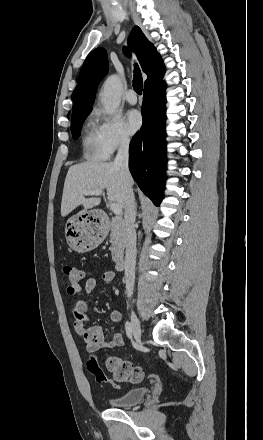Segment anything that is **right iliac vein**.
<instances>
[{
	"label": "right iliac vein",
	"instance_id": "right-iliac-vein-1",
	"mask_svg": "<svg viewBox=\"0 0 263 440\" xmlns=\"http://www.w3.org/2000/svg\"><path fill=\"white\" fill-rule=\"evenodd\" d=\"M131 318H132V333L134 336V339L137 343L141 340V325L140 321L134 311L131 312Z\"/></svg>",
	"mask_w": 263,
	"mask_h": 440
}]
</instances>
